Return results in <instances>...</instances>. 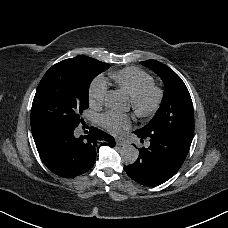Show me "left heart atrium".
Returning a JSON list of instances; mask_svg holds the SVG:
<instances>
[{
    "label": "left heart atrium",
    "mask_w": 228,
    "mask_h": 228,
    "mask_svg": "<svg viewBox=\"0 0 228 228\" xmlns=\"http://www.w3.org/2000/svg\"><path fill=\"white\" fill-rule=\"evenodd\" d=\"M104 127L111 133L118 134L122 130H127L132 126L129 115L116 112H108L101 116Z\"/></svg>",
    "instance_id": "1"
}]
</instances>
